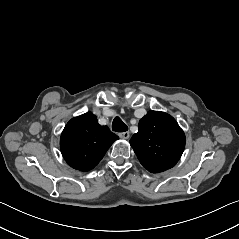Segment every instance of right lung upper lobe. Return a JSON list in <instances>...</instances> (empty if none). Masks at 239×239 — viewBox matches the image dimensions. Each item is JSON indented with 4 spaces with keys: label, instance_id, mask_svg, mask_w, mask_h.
Here are the masks:
<instances>
[{
    "label": "right lung upper lobe",
    "instance_id": "right-lung-upper-lobe-1",
    "mask_svg": "<svg viewBox=\"0 0 239 239\" xmlns=\"http://www.w3.org/2000/svg\"><path fill=\"white\" fill-rule=\"evenodd\" d=\"M118 139L107 126H101L97 117L87 112L71 119L60 139L65 161L74 169L89 171L104 157L109 147Z\"/></svg>",
    "mask_w": 239,
    "mask_h": 239
}]
</instances>
